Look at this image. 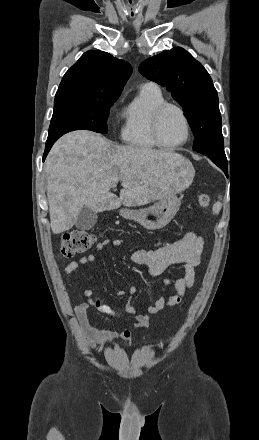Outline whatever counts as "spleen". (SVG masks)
Masks as SVG:
<instances>
[{"label": "spleen", "mask_w": 259, "mask_h": 440, "mask_svg": "<svg viewBox=\"0 0 259 440\" xmlns=\"http://www.w3.org/2000/svg\"><path fill=\"white\" fill-rule=\"evenodd\" d=\"M221 207H222V204H221L219 201L216 202V203L213 205V208H212L213 213H214V214H218V213L220 212V210H221Z\"/></svg>", "instance_id": "obj_1"}]
</instances>
